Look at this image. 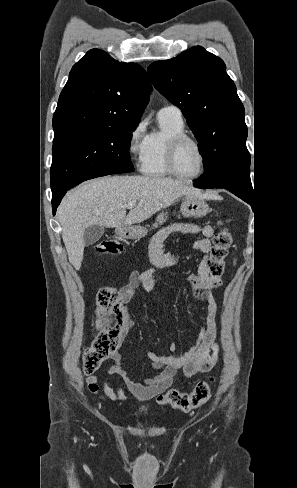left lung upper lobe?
<instances>
[{"label": "left lung upper lobe", "mask_w": 297, "mask_h": 488, "mask_svg": "<svg viewBox=\"0 0 297 488\" xmlns=\"http://www.w3.org/2000/svg\"><path fill=\"white\" fill-rule=\"evenodd\" d=\"M147 73L154 87L182 110L200 143L205 172L194 186L253 195L244 106L223 60L196 46L152 63Z\"/></svg>", "instance_id": "1"}]
</instances>
